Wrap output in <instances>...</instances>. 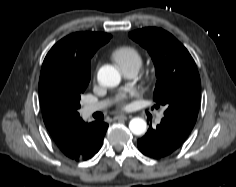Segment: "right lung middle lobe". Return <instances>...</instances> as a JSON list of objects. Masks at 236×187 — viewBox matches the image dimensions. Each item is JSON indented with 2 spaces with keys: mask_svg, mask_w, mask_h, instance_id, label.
I'll return each instance as SVG.
<instances>
[{
  "mask_svg": "<svg viewBox=\"0 0 236 187\" xmlns=\"http://www.w3.org/2000/svg\"><path fill=\"white\" fill-rule=\"evenodd\" d=\"M89 80V77L81 79L59 69H54L44 77L43 98L50 107L67 113H78L81 94L88 86Z\"/></svg>",
  "mask_w": 236,
  "mask_h": 187,
  "instance_id": "dd1d6c3e",
  "label": "right lung middle lobe"
}]
</instances>
